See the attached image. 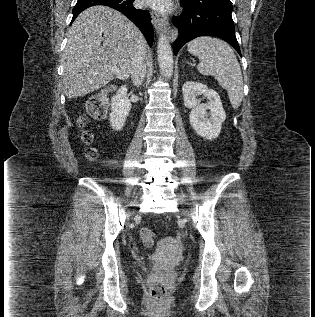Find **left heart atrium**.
<instances>
[{
    "label": "left heart atrium",
    "instance_id": "39dd6f15",
    "mask_svg": "<svg viewBox=\"0 0 315 317\" xmlns=\"http://www.w3.org/2000/svg\"><path fill=\"white\" fill-rule=\"evenodd\" d=\"M142 2L159 11H167L170 7V0H142Z\"/></svg>",
    "mask_w": 315,
    "mask_h": 317
}]
</instances>
